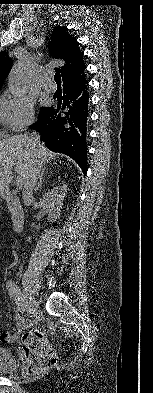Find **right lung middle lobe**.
Here are the masks:
<instances>
[{
    "instance_id": "dd1d6c3e",
    "label": "right lung middle lobe",
    "mask_w": 153,
    "mask_h": 393,
    "mask_svg": "<svg viewBox=\"0 0 153 393\" xmlns=\"http://www.w3.org/2000/svg\"><path fill=\"white\" fill-rule=\"evenodd\" d=\"M45 109H47V107H45V108H42V111H41V112H43Z\"/></svg>"
}]
</instances>
